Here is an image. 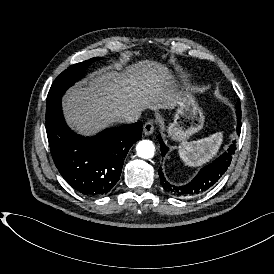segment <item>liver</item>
Wrapping results in <instances>:
<instances>
[{"label":"liver","mask_w":274,"mask_h":274,"mask_svg":"<svg viewBox=\"0 0 274 274\" xmlns=\"http://www.w3.org/2000/svg\"><path fill=\"white\" fill-rule=\"evenodd\" d=\"M182 95L166 65L146 59L123 71L109 66L90 73L67 91L62 104L68 125L92 136L121 122L124 112L174 109Z\"/></svg>","instance_id":"6515ba94"}]
</instances>
